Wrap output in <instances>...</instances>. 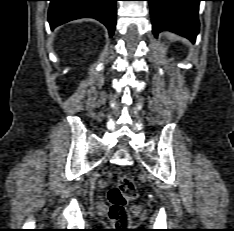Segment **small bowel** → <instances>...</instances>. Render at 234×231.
Returning a JSON list of instances; mask_svg holds the SVG:
<instances>
[{
    "instance_id": "c3829d8e",
    "label": "small bowel",
    "mask_w": 234,
    "mask_h": 231,
    "mask_svg": "<svg viewBox=\"0 0 234 231\" xmlns=\"http://www.w3.org/2000/svg\"><path fill=\"white\" fill-rule=\"evenodd\" d=\"M107 184H108V182L106 180H103V181L100 182V185L102 187H105Z\"/></svg>"
}]
</instances>
